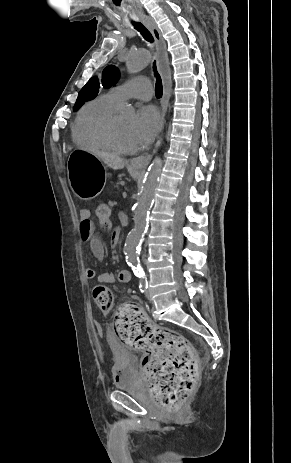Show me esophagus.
<instances>
[{"label": "esophagus", "instance_id": "obj_1", "mask_svg": "<svg viewBox=\"0 0 291 463\" xmlns=\"http://www.w3.org/2000/svg\"><path fill=\"white\" fill-rule=\"evenodd\" d=\"M142 22L152 33L155 39V42H156V47H157L156 61H157L158 70L162 76V81H163V97L161 99V118H162L161 130H162L165 124V114H166L167 104H168L169 95H170L171 86H172L166 43L162 37V34L157 24L151 17H144L142 19ZM161 141H162V137L160 136L156 142L155 149L153 150L152 154H143L141 156L133 158L131 159L130 163L134 166L145 168L150 163L153 154L156 153V150L160 146Z\"/></svg>", "mask_w": 291, "mask_h": 463}]
</instances>
